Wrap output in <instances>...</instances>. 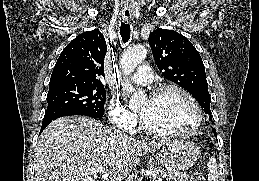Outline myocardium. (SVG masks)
<instances>
[{"instance_id":"f54148a6","label":"myocardium","mask_w":259,"mask_h":181,"mask_svg":"<svg viewBox=\"0 0 259 181\" xmlns=\"http://www.w3.org/2000/svg\"><path fill=\"white\" fill-rule=\"evenodd\" d=\"M171 90L179 92L189 101V103L191 104V106L194 110V115H195L194 123L190 128H188L186 130L165 132V131H159V130H155V129L151 128L146 123L144 117L140 114L141 127L147 134H149L151 136L158 137V138H184V137H188V136H191L192 134H194L201 126L202 118H203L201 107L199 106V104H198L197 100L194 98V96L188 90H186L184 87H182L178 84H174V83L163 84V85L155 88L151 92L150 98L158 97L162 93L171 91Z\"/></svg>"}]
</instances>
